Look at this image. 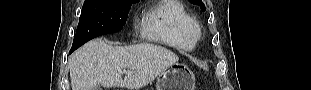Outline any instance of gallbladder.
<instances>
[{
	"label": "gallbladder",
	"instance_id": "bac80fb5",
	"mask_svg": "<svg viewBox=\"0 0 311 90\" xmlns=\"http://www.w3.org/2000/svg\"><path fill=\"white\" fill-rule=\"evenodd\" d=\"M96 90H102V88L99 86V87H96Z\"/></svg>",
	"mask_w": 311,
	"mask_h": 90
}]
</instances>
